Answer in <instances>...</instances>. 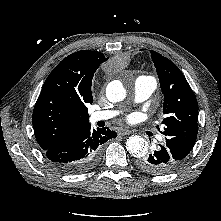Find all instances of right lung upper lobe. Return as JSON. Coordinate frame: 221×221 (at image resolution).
I'll return each mask as SVG.
<instances>
[{"label": "right lung upper lobe", "mask_w": 221, "mask_h": 221, "mask_svg": "<svg viewBox=\"0 0 221 221\" xmlns=\"http://www.w3.org/2000/svg\"><path fill=\"white\" fill-rule=\"evenodd\" d=\"M107 59L100 52L78 51L47 77L32 116L35 137L44 151L90 125L86 105L93 102L92 79Z\"/></svg>", "instance_id": "obj_1"}]
</instances>
